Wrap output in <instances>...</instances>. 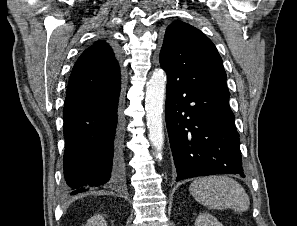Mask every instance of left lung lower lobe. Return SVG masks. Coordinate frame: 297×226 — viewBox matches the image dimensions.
<instances>
[{"label": "left lung lower lobe", "mask_w": 297, "mask_h": 226, "mask_svg": "<svg viewBox=\"0 0 297 226\" xmlns=\"http://www.w3.org/2000/svg\"><path fill=\"white\" fill-rule=\"evenodd\" d=\"M228 90H199L167 77L166 124L176 181L214 174L245 177Z\"/></svg>", "instance_id": "left-lung-lower-lobe-1"}]
</instances>
